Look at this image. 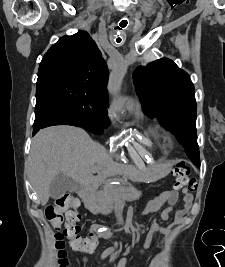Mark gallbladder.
I'll list each match as a JSON object with an SVG mask.
<instances>
[{
  "label": "gallbladder",
  "mask_w": 225,
  "mask_h": 267,
  "mask_svg": "<svg viewBox=\"0 0 225 267\" xmlns=\"http://www.w3.org/2000/svg\"><path fill=\"white\" fill-rule=\"evenodd\" d=\"M79 189L78 184L64 174H58L49 185V194L53 199L60 198L66 192H73Z\"/></svg>",
  "instance_id": "bac80fb5"
}]
</instances>
